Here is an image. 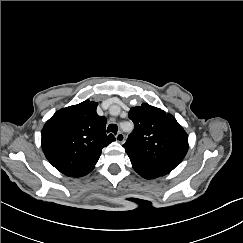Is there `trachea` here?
Instances as JSON below:
<instances>
[{
  "label": "trachea",
  "instance_id": "3493384b",
  "mask_svg": "<svg viewBox=\"0 0 243 243\" xmlns=\"http://www.w3.org/2000/svg\"><path fill=\"white\" fill-rule=\"evenodd\" d=\"M117 131H118V127H117L116 124H110V125L108 126V128H107V133H110V132H111V133L116 134Z\"/></svg>",
  "mask_w": 243,
  "mask_h": 243
}]
</instances>
